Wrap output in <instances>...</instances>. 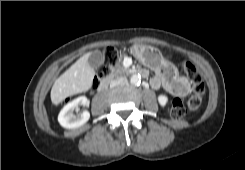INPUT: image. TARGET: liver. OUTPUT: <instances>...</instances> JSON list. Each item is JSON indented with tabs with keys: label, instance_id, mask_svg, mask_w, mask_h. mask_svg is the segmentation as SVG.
<instances>
[{
	"label": "liver",
	"instance_id": "obj_1",
	"mask_svg": "<svg viewBox=\"0 0 245 170\" xmlns=\"http://www.w3.org/2000/svg\"><path fill=\"white\" fill-rule=\"evenodd\" d=\"M91 53L80 57L69 69L56 79L51 89V101L58 105L69 96L86 92L92 86L95 71L88 64Z\"/></svg>",
	"mask_w": 245,
	"mask_h": 170
}]
</instances>
